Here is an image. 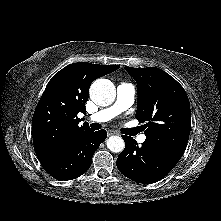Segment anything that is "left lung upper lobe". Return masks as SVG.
Instances as JSON below:
<instances>
[{"instance_id":"5c2ea615","label":"left lung upper lobe","mask_w":221,"mask_h":221,"mask_svg":"<svg viewBox=\"0 0 221 221\" xmlns=\"http://www.w3.org/2000/svg\"><path fill=\"white\" fill-rule=\"evenodd\" d=\"M126 71L137 82L136 118L144 124L146 141L182 157L191 129V111L183 87L165 71L156 67Z\"/></svg>"}]
</instances>
